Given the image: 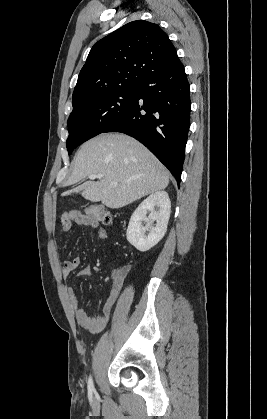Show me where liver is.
I'll return each instance as SVG.
<instances>
[{
	"instance_id": "obj_1",
	"label": "liver",
	"mask_w": 267,
	"mask_h": 419,
	"mask_svg": "<svg viewBox=\"0 0 267 419\" xmlns=\"http://www.w3.org/2000/svg\"><path fill=\"white\" fill-rule=\"evenodd\" d=\"M103 174L74 189L91 202L106 207H124L168 186L169 173L161 162L140 142L125 134H101L84 143L74 158V168L66 185H73L89 175ZM117 182V186H111ZM71 192H64L68 195Z\"/></svg>"
}]
</instances>
